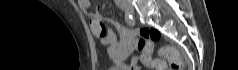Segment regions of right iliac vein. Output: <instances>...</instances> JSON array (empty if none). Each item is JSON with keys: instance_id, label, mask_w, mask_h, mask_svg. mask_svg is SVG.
I'll return each instance as SVG.
<instances>
[{"instance_id": "right-iliac-vein-1", "label": "right iliac vein", "mask_w": 238, "mask_h": 70, "mask_svg": "<svg viewBox=\"0 0 238 70\" xmlns=\"http://www.w3.org/2000/svg\"><path fill=\"white\" fill-rule=\"evenodd\" d=\"M123 9H124L125 11H131V10H132V8L129 7V6H123Z\"/></svg>"}]
</instances>
